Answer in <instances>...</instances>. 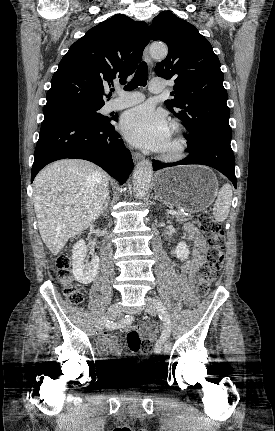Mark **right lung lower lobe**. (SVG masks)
<instances>
[{
	"mask_svg": "<svg viewBox=\"0 0 275 431\" xmlns=\"http://www.w3.org/2000/svg\"><path fill=\"white\" fill-rule=\"evenodd\" d=\"M108 118L92 123L75 116L55 115L44 117L36 145L31 182L47 164L64 158L91 161L123 184L134 164L129 150L120 135L114 131Z\"/></svg>",
	"mask_w": 275,
	"mask_h": 431,
	"instance_id": "obj_1",
	"label": "right lung lower lobe"
}]
</instances>
